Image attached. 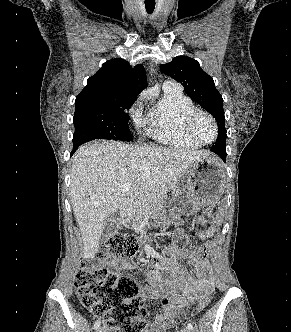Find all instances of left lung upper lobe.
<instances>
[{
	"label": "left lung upper lobe",
	"instance_id": "1",
	"mask_svg": "<svg viewBox=\"0 0 291 332\" xmlns=\"http://www.w3.org/2000/svg\"><path fill=\"white\" fill-rule=\"evenodd\" d=\"M160 69L182 83L186 94L214 116L219 134L213 147H225L223 99L215 88L213 79L201 69L198 61L187 56H177L170 63L162 64Z\"/></svg>",
	"mask_w": 291,
	"mask_h": 332
}]
</instances>
